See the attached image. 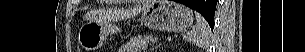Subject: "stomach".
I'll use <instances>...</instances> for the list:
<instances>
[{
	"instance_id": "1",
	"label": "stomach",
	"mask_w": 305,
	"mask_h": 52,
	"mask_svg": "<svg viewBox=\"0 0 305 52\" xmlns=\"http://www.w3.org/2000/svg\"><path fill=\"white\" fill-rule=\"evenodd\" d=\"M143 23L151 29L164 32H182L193 24L194 16L188 7L168 1L154 0L142 11ZM121 29L114 22L89 21L78 32V43L86 52L99 50L113 34Z\"/></svg>"
}]
</instances>
